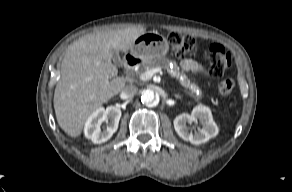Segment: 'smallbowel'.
Returning <instances> with one entry per match:
<instances>
[{"label": "small bowel", "mask_w": 292, "mask_h": 192, "mask_svg": "<svg viewBox=\"0 0 292 192\" xmlns=\"http://www.w3.org/2000/svg\"><path fill=\"white\" fill-rule=\"evenodd\" d=\"M183 70L187 72H192L196 74H204V69L194 60L192 59H185L181 64Z\"/></svg>", "instance_id": "obj_1"}]
</instances>
